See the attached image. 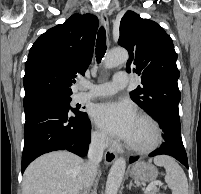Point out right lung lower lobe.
Returning <instances> with one entry per match:
<instances>
[{"mask_svg": "<svg viewBox=\"0 0 201 194\" xmlns=\"http://www.w3.org/2000/svg\"><path fill=\"white\" fill-rule=\"evenodd\" d=\"M25 127L22 173L42 154L67 150L85 156L90 143V121L47 94L24 98Z\"/></svg>", "mask_w": 201, "mask_h": 194, "instance_id": "1", "label": "right lung lower lobe"}]
</instances>
